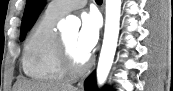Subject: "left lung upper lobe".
Here are the masks:
<instances>
[{
  "instance_id": "obj_1",
  "label": "left lung upper lobe",
  "mask_w": 173,
  "mask_h": 91,
  "mask_svg": "<svg viewBox=\"0 0 173 91\" xmlns=\"http://www.w3.org/2000/svg\"><path fill=\"white\" fill-rule=\"evenodd\" d=\"M40 3L39 0H27L26 7L23 14L21 32H20V41H23L29 26V22L31 16L36 8V6Z\"/></svg>"
}]
</instances>
